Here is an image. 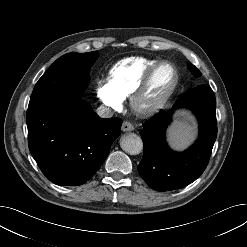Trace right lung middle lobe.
Returning a JSON list of instances; mask_svg holds the SVG:
<instances>
[{
    "instance_id": "obj_1",
    "label": "right lung middle lobe",
    "mask_w": 247,
    "mask_h": 247,
    "mask_svg": "<svg viewBox=\"0 0 247 247\" xmlns=\"http://www.w3.org/2000/svg\"><path fill=\"white\" fill-rule=\"evenodd\" d=\"M98 57V51L61 56L38 80L30 102L43 98L79 97L88 85V70Z\"/></svg>"
}]
</instances>
